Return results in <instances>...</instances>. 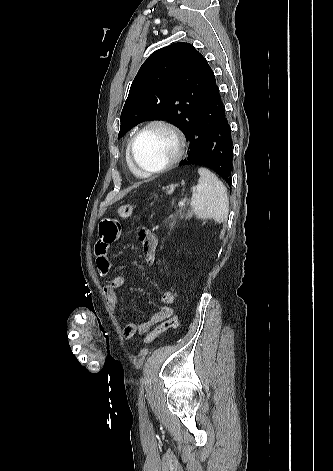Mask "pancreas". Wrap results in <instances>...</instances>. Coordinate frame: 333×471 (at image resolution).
Instances as JSON below:
<instances>
[{
    "mask_svg": "<svg viewBox=\"0 0 333 471\" xmlns=\"http://www.w3.org/2000/svg\"><path fill=\"white\" fill-rule=\"evenodd\" d=\"M192 217V213L187 208H182L177 211L176 214L171 215L167 220H165V225L167 228L172 230L177 223V219L189 220Z\"/></svg>",
    "mask_w": 333,
    "mask_h": 471,
    "instance_id": "pancreas-1",
    "label": "pancreas"
}]
</instances>
